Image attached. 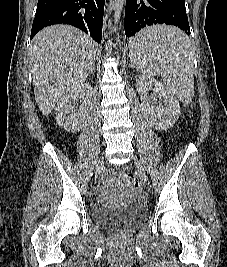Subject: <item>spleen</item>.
Segmentation results:
<instances>
[{"mask_svg":"<svg viewBox=\"0 0 227 267\" xmlns=\"http://www.w3.org/2000/svg\"><path fill=\"white\" fill-rule=\"evenodd\" d=\"M135 37L128 46L129 63H135L141 77H162L173 94L189 103L194 93V54L185 33L174 27L151 26Z\"/></svg>","mask_w":227,"mask_h":267,"instance_id":"spleen-1","label":"spleen"}]
</instances>
